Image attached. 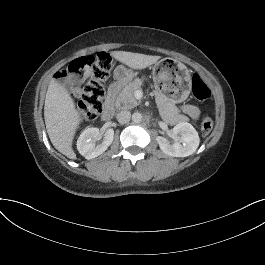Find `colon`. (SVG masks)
<instances>
[{
	"mask_svg": "<svg viewBox=\"0 0 265 265\" xmlns=\"http://www.w3.org/2000/svg\"><path fill=\"white\" fill-rule=\"evenodd\" d=\"M112 65L113 58L110 53L99 52L78 57L56 73L57 78H64L83 69L91 72V79L87 83L78 104V111L84 118H94L102 111L105 96L104 82L109 76ZM192 94L199 102L206 101L211 95L210 88L198 74L192 76ZM212 129V119L204 117L200 123L201 133L207 135Z\"/></svg>",
	"mask_w": 265,
	"mask_h": 265,
	"instance_id": "colon-1",
	"label": "colon"
}]
</instances>
